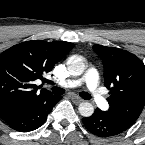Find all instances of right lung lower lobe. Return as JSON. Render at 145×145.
<instances>
[{"mask_svg":"<svg viewBox=\"0 0 145 145\" xmlns=\"http://www.w3.org/2000/svg\"><path fill=\"white\" fill-rule=\"evenodd\" d=\"M60 99L61 96L51 95L35 105L12 110L0 118L15 131H33L46 121L48 114Z\"/></svg>","mask_w":145,"mask_h":145,"instance_id":"1","label":"right lung lower lobe"}]
</instances>
